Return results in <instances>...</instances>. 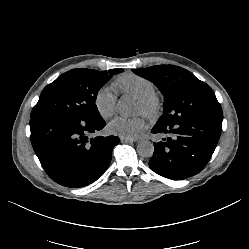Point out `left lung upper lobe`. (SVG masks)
Masks as SVG:
<instances>
[{
	"label": "left lung upper lobe",
	"mask_w": 249,
	"mask_h": 249,
	"mask_svg": "<svg viewBox=\"0 0 249 249\" xmlns=\"http://www.w3.org/2000/svg\"><path fill=\"white\" fill-rule=\"evenodd\" d=\"M132 71L153 82L164 96L163 115L157 124L182 120L223 119L213 90L191 72L174 65H158Z\"/></svg>",
	"instance_id": "5c2ea615"
}]
</instances>
